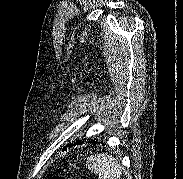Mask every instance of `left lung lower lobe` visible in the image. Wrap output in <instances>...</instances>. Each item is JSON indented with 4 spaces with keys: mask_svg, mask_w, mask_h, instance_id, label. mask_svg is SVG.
Returning a JSON list of instances; mask_svg holds the SVG:
<instances>
[{
    "mask_svg": "<svg viewBox=\"0 0 183 179\" xmlns=\"http://www.w3.org/2000/svg\"><path fill=\"white\" fill-rule=\"evenodd\" d=\"M79 144H81V142H80V141H76L74 144H71V143H70L69 147L75 146V145H79Z\"/></svg>",
    "mask_w": 183,
    "mask_h": 179,
    "instance_id": "1",
    "label": "left lung lower lobe"
}]
</instances>
